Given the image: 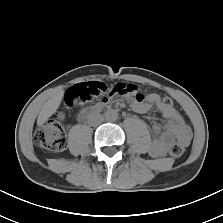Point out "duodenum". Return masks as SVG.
I'll use <instances>...</instances> for the list:
<instances>
[{"label": "duodenum", "instance_id": "1", "mask_svg": "<svg viewBox=\"0 0 223 223\" xmlns=\"http://www.w3.org/2000/svg\"><path fill=\"white\" fill-rule=\"evenodd\" d=\"M103 107H94V108H91V109H88V110H85L83 113H82V117L83 118H87L89 115L95 113V112H98L100 109H102Z\"/></svg>", "mask_w": 223, "mask_h": 223}]
</instances>
